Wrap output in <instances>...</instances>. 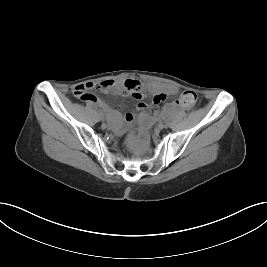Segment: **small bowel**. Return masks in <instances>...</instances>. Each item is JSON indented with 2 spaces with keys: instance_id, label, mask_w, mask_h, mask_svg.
I'll use <instances>...</instances> for the list:
<instances>
[{
  "instance_id": "obj_1",
  "label": "small bowel",
  "mask_w": 267,
  "mask_h": 267,
  "mask_svg": "<svg viewBox=\"0 0 267 267\" xmlns=\"http://www.w3.org/2000/svg\"><path fill=\"white\" fill-rule=\"evenodd\" d=\"M104 83H106V86L107 87H110V86H115L117 89L120 90L121 88V83H115L113 84L112 81H103ZM79 86H83L82 85H78L76 87H74L73 89V95L75 97L76 96V88L79 87ZM144 91L145 93L148 92V93H151L155 96L159 95V94H169V95H173V94H176L178 92V89L172 85H166V86H162L160 84H157V83H149L147 84L145 87H144ZM135 99L137 100H140L142 98V95L140 96H133ZM84 101H87V102H90V103H93L94 105H96L97 107L101 108L102 110H104L105 112L107 113H111L112 112V109L102 100L100 99H97V98H91L89 100H84ZM155 104H158V103H155ZM148 107L147 104H145L144 102L142 101H139L137 103V109L140 110V111H144L146 110ZM167 111H170V112H174V111H177V107L174 105V104H169L167 106ZM125 119L127 121H131L133 119V114L131 113H126L125 114Z\"/></svg>"
}]
</instances>
